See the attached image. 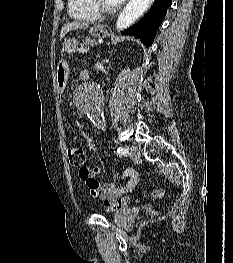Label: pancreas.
Here are the masks:
<instances>
[{"label": "pancreas", "instance_id": "1", "mask_svg": "<svg viewBox=\"0 0 233 263\" xmlns=\"http://www.w3.org/2000/svg\"><path fill=\"white\" fill-rule=\"evenodd\" d=\"M94 45H97V42H95L94 40H91V39H85L83 40L81 43H80V48H83L85 50H88V48L90 46H94Z\"/></svg>", "mask_w": 233, "mask_h": 263}]
</instances>
